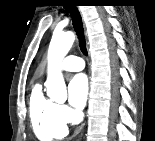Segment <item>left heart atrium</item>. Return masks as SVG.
Wrapping results in <instances>:
<instances>
[{
  "label": "left heart atrium",
  "mask_w": 155,
  "mask_h": 141,
  "mask_svg": "<svg viewBox=\"0 0 155 141\" xmlns=\"http://www.w3.org/2000/svg\"><path fill=\"white\" fill-rule=\"evenodd\" d=\"M68 90L71 105L77 109L83 108L86 104L89 92L87 76L84 74L75 75L69 83Z\"/></svg>",
  "instance_id": "1"
}]
</instances>
